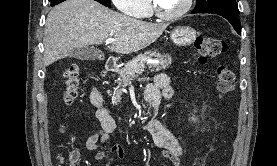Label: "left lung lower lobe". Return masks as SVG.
<instances>
[{
	"mask_svg": "<svg viewBox=\"0 0 277 166\" xmlns=\"http://www.w3.org/2000/svg\"><path fill=\"white\" fill-rule=\"evenodd\" d=\"M226 18L237 31L238 34H241V24L238 16L227 14V13H214Z\"/></svg>",
	"mask_w": 277,
	"mask_h": 166,
	"instance_id": "obj_1",
	"label": "left lung lower lobe"
}]
</instances>
